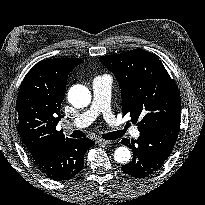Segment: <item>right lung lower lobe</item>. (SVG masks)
Instances as JSON below:
<instances>
[{
    "label": "right lung lower lobe",
    "mask_w": 205,
    "mask_h": 205,
    "mask_svg": "<svg viewBox=\"0 0 205 205\" xmlns=\"http://www.w3.org/2000/svg\"><path fill=\"white\" fill-rule=\"evenodd\" d=\"M94 144L88 138L68 139L33 154L32 159L50 179L69 180L82 170L85 152Z\"/></svg>",
    "instance_id": "98d812e1"
}]
</instances>
